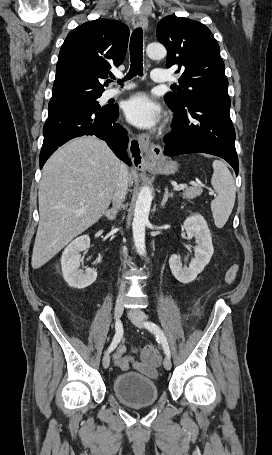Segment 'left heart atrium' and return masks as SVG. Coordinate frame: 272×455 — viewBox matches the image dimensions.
I'll return each instance as SVG.
<instances>
[{"instance_id": "obj_1", "label": "left heart atrium", "mask_w": 272, "mask_h": 455, "mask_svg": "<svg viewBox=\"0 0 272 455\" xmlns=\"http://www.w3.org/2000/svg\"><path fill=\"white\" fill-rule=\"evenodd\" d=\"M124 113L130 123L145 129L155 126L161 116L159 105L145 93L135 94L127 100Z\"/></svg>"}]
</instances>
